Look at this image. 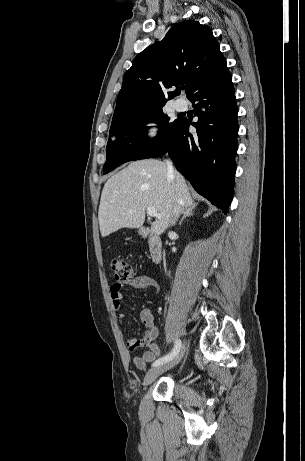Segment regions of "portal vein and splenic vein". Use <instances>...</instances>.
I'll return each mask as SVG.
<instances>
[{
	"mask_svg": "<svg viewBox=\"0 0 305 461\" xmlns=\"http://www.w3.org/2000/svg\"><path fill=\"white\" fill-rule=\"evenodd\" d=\"M147 214L150 217L161 218V215L157 212L154 207H147Z\"/></svg>",
	"mask_w": 305,
	"mask_h": 461,
	"instance_id": "1",
	"label": "portal vein and splenic vein"
}]
</instances>
